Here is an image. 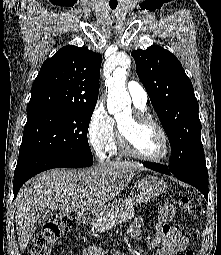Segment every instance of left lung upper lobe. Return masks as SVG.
Returning <instances> with one entry per match:
<instances>
[{
  "label": "left lung upper lobe",
  "mask_w": 221,
  "mask_h": 255,
  "mask_svg": "<svg viewBox=\"0 0 221 255\" xmlns=\"http://www.w3.org/2000/svg\"><path fill=\"white\" fill-rule=\"evenodd\" d=\"M131 55L171 145L168 168L177 173L205 167L199 105L181 63L158 45Z\"/></svg>",
  "instance_id": "5c2ea615"
}]
</instances>
